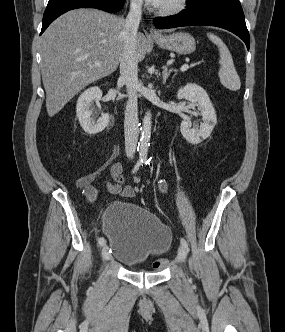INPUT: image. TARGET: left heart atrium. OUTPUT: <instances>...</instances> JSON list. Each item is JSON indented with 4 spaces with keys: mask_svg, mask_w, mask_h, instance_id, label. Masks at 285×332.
Segmentation results:
<instances>
[{
    "mask_svg": "<svg viewBox=\"0 0 285 332\" xmlns=\"http://www.w3.org/2000/svg\"><path fill=\"white\" fill-rule=\"evenodd\" d=\"M150 5L154 7H162L166 0H146Z\"/></svg>",
    "mask_w": 285,
    "mask_h": 332,
    "instance_id": "1",
    "label": "left heart atrium"
}]
</instances>
